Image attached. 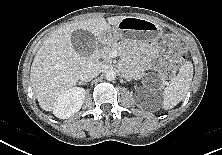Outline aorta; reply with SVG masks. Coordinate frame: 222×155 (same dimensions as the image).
<instances>
[{"mask_svg":"<svg viewBox=\"0 0 222 155\" xmlns=\"http://www.w3.org/2000/svg\"><path fill=\"white\" fill-rule=\"evenodd\" d=\"M105 77L108 81H113L116 78V72L114 70H107Z\"/></svg>","mask_w":222,"mask_h":155,"instance_id":"obj_1","label":"aorta"}]
</instances>
